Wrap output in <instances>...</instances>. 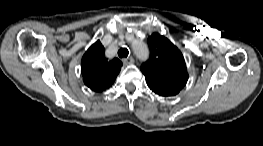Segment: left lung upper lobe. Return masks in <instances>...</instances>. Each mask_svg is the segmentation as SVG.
Here are the masks:
<instances>
[{
  "label": "left lung upper lobe",
  "instance_id": "1",
  "mask_svg": "<svg viewBox=\"0 0 263 146\" xmlns=\"http://www.w3.org/2000/svg\"><path fill=\"white\" fill-rule=\"evenodd\" d=\"M147 43L150 57L141 66L147 85L160 96L178 94L188 80L182 53L169 39L159 33H153L147 39Z\"/></svg>",
  "mask_w": 263,
  "mask_h": 146
}]
</instances>
